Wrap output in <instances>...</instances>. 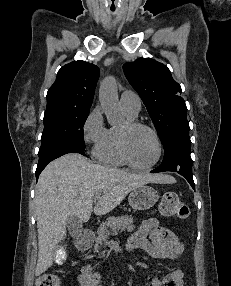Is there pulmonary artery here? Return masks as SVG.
Here are the masks:
<instances>
[{"mask_svg":"<svg viewBox=\"0 0 231 286\" xmlns=\"http://www.w3.org/2000/svg\"><path fill=\"white\" fill-rule=\"evenodd\" d=\"M120 105L133 115H137L141 109V100L133 91H124L120 97Z\"/></svg>","mask_w":231,"mask_h":286,"instance_id":"e3ab8cb5","label":"pulmonary artery"}]
</instances>
